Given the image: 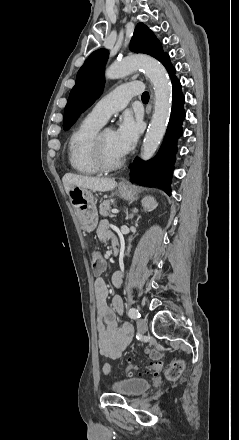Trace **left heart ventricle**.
<instances>
[{
  "label": "left heart ventricle",
  "mask_w": 239,
  "mask_h": 440,
  "mask_svg": "<svg viewBox=\"0 0 239 440\" xmlns=\"http://www.w3.org/2000/svg\"><path fill=\"white\" fill-rule=\"evenodd\" d=\"M102 145L105 154L109 160L113 161L117 157L121 156V154L116 148L115 140H114V132L111 129L103 130Z\"/></svg>",
  "instance_id": "b2bd125f"
}]
</instances>
